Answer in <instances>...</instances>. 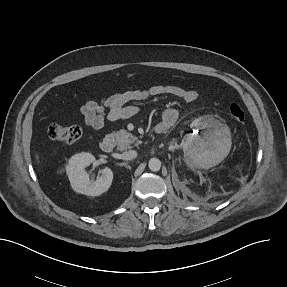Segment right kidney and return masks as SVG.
<instances>
[{"label": "right kidney", "mask_w": 287, "mask_h": 287, "mask_svg": "<svg viewBox=\"0 0 287 287\" xmlns=\"http://www.w3.org/2000/svg\"><path fill=\"white\" fill-rule=\"evenodd\" d=\"M95 162L91 153H79L72 156L66 166V172L74 191L87 196H99L105 193L112 184L113 172L104 168L96 180H90L85 167Z\"/></svg>", "instance_id": "obj_1"}]
</instances>
